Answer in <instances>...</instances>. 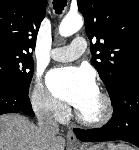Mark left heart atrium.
<instances>
[{
  "mask_svg": "<svg viewBox=\"0 0 139 150\" xmlns=\"http://www.w3.org/2000/svg\"><path fill=\"white\" fill-rule=\"evenodd\" d=\"M50 91L77 109L98 94L93 74L80 67H61L50 71L47 77Z\"/></svg>",
  "mask_w": 139,
  "mask_h": 150,
  "instance_id": "obj_1",
  "label": "left heart atrium"
}]
</instances>
